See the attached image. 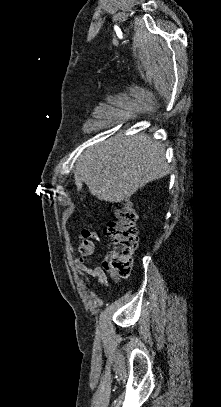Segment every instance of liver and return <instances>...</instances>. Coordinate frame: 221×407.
Here are the masks:
<instances>
[{"label":"liver","instance_id":"1","mask_svg":"<svg viewBox=\"0 0 221 407\" xmlns=\"http://www.w3.org/2000/svg\"><path fill=\"white\" fill-rule=\"evenodd\" d=\"M169 171L159 142L144 134L119 135L88 148L76 163L74 178L97 199L120 203Z\"/></svg>","mask_w":221,"mask_h":407}]
</instances>
